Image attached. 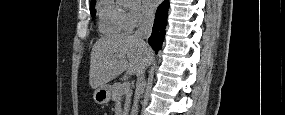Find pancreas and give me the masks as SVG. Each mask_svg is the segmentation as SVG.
Wrapping results in <instances>:
<instances>
[{
  "instance_id": "obj_1",
  "label": "pancreas",
  "mask_w": 285,
  "mask_h": 115,
  "mask_svg": "<svg viewBox=\"0 0 285 115\" xmlns=\"http://www.w3.org/2000/svg\"><path fill=\"white\" fill-rule=\"evenodd\" d=\"M125 95V104L124 108L127 110L129 108L132 90L129 86H125L124 83H115L112 86V100L114 102H119L121 100V97Z\"/></svg>"
}]
</instances>
